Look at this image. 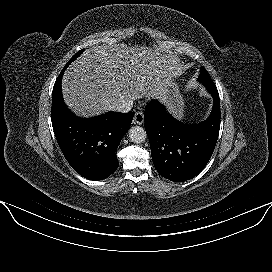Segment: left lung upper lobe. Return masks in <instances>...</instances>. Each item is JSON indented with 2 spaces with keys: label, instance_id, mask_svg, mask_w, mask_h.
I'll list each match as a JSON object with an SVG mask.
<instances>
[{
  "label": "left lung upper lobe",
  "instance_id": "obj_1",
  "mask_svg": "<svg viewBox=\"0 0 272 272\" xmlns=\"http://www.w3.org/2000/svg\"><path fill=\"white\" fill-rule=\"evenodd\" d=\"M198 80L202 83L206 82H212L210 76L208 75L207 71L204 69V67L201 68L200 70V75L198 77Z\"/></svg>",
  "mask_w": 272,
  "mask_h": 272
}]
</instances>
